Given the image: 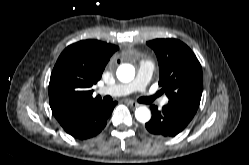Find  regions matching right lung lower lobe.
Returning a JSON list of instances; mask_svg holds the SVG:
<instances>
[{"mask_svg":"<svg viewBox=\"0 0 249 165\" xmlns=\"http://www.w3.org/2000/svg\"><path fill=\"white\" fill-rule=\"evenodd\" d=\"M117 102L108 104L102 100L81 109L63 122V129L74 138H91L102 131Z\"/></svg>","mask_w":249,"mask_h":165,"instance_id":"1","label":"right lung lower lobe"}]
</instances>
